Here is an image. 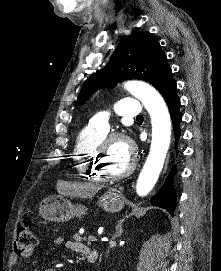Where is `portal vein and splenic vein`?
Returning <instances> with one entry per match:
<instances>
[{
	"instance_id": "portal-vein-and-splenic-vein-1",
	"label": "portal vein and splenic vein",
	"mask_w": 221,
	"mask_h": 271,
	"mask_svg": "<svg viewBox=\"0 0 221 271\" xmlns=\"http://www.w3.org/2000/svg\"><path fill=\"white\" fill-rule=\"evenodd\" d=\"M87 240L88 242H96L98 239L95 234H90Z\"/></svg>"
}]
</instances>
